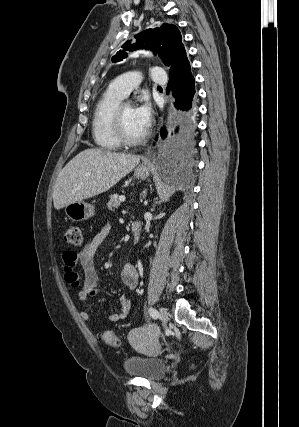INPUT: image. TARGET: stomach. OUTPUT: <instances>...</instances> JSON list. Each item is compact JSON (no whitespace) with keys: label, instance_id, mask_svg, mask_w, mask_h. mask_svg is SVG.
<instances>
[{"label":"stomach","instance_id":"stomach-1","mask_svg":"<svg viewBox=\"0 0 299 427\" xmlns=\"http://www.w3.org/2000/svg\"><path fill=\"white\" fill-rule=\"evenodd\" d=\"M150 172L149 166H138L134 175L136 178L145 179ZM65 214L72 221H83L91 218L95 214L93 205L82 201L73 202L65 206Z\"/></svg>","mask_w":299,"mask_h":427}]
</instances>
